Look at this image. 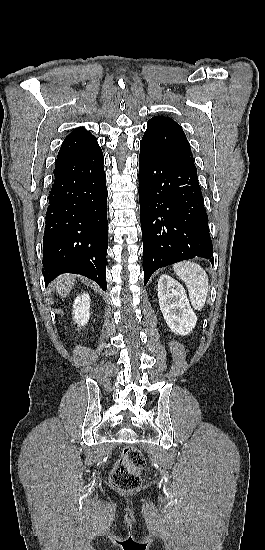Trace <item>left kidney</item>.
<instances>
[{
	"label": "left kidney",
	"mask_w": 265,
	"mask_h": 550,
	"mask_svg": "<svg viewBox=\"0 0 265 550\" xmlns=\"http://www.w3.org/2000/svg\"><path fill=\"white\" fill-rule=\"evenodd\" d=\"M157 291L160 310L168 327L177 335H188L195 327L197 317L183 286L164 274L158 280Z\"/></svg>",
	"instance_id": "5707ae66"
}]
</instances>
